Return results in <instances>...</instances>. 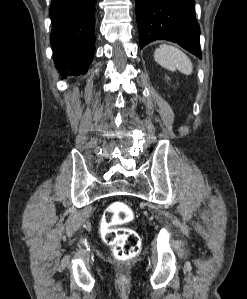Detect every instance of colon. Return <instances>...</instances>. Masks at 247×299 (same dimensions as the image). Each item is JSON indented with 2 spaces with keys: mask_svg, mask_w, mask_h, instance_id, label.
Listing matches in <instances>:
<instances>
[{
  "mask_svg": "<svg viewBox=\"0 0 247 299\" xmlns=\"http://www.w3.org/2000/svg\"><path fill=\"white\" fill-rule=\"evenodd\" d=\"M134 218L129 205L124 202H113L106 209L103 220V237L113 247L114 256L122 261L138 255L141 241L138 233L125 225Z\"/></svg>",
  "mask_w": 247,
  "mask_h": 299,
  "instance_id": "1",
  "label": "colon"
}]
</instances>
